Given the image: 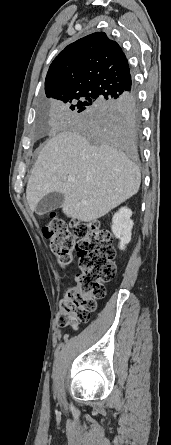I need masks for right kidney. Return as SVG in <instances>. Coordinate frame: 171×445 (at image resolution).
Instances as JSON below:
<instances>
[{
	"label": "right kidney",
	"mask_w": 171,
	"mask_h": 445,
	"mask_svg": "<svg viewBox=\"0 0 171 445\" xmlns=\"http://www.w3.org/2000/svg\"><path fill=\"white\" fill-rule=\"evenodd\" d=\"M131 216L132 211L127 207H122L112 218L111 229L114 236L120 240L119 248L121 250H124L126 245L131 241V231L133 228Z\"/></svg>",
	"instance_id": "ca27d5eb"
}]
</instances>
